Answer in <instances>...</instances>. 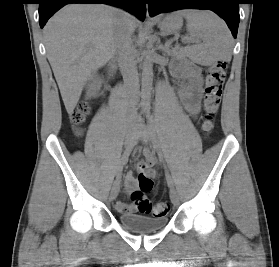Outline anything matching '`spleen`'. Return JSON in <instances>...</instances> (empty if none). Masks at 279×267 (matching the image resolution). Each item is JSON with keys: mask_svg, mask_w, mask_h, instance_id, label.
<instances>
[{"mask_svg": "<svg viewBox=\"0 0 279 267\" xmlns=\"http://www.w3.org/2000/svg\"><path fill=\"white\" fill-rule=\"evenodd\" d=\"M176 15L185 17L191 37L202 41L184 48L182 53L200 65H210L216 60H231L232 36L220 17L204 10H182Z\"/></svg>", "mask_w": 279, "mask_h": 267, "instance_id": "obj_1", "label": "spleen"}]
</instances>
